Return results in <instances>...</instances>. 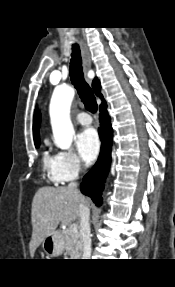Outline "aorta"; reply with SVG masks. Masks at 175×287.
Segmentation results:
<instances>
[{"mask_svg": "<svg viewBox=\"0 0 175 287\" xmlns=\"http://www.w3.org/2000/svg\"><path fill=\"white\" fill-rule=\"evenodd\" d=\"M75 91L70 86L57 87L52 95L49 107L54 142L63 150L70 149L74 128L70 119V107Z\"/></svg>", "mask_w": 175, "mask_h": 287, "instance_id": "762f6f07", "label": "aorta"}]
</instances>
